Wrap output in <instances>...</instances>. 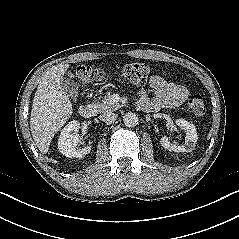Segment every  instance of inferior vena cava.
<instances>
[{"label": "inferior vena cava", "instance_id": "1", "mask_svg": "<svg viewBox=\"0 0 239 239\" xmlns=\"http://www.w3.org/2000/svg\"><path fill=\"white\" fill-rule=\"evenodd\" d=\"M99 119L105 123H113L117 119V114L113 112H104L99 116Z\"/></svg>", "mask_w": 239, "mask_h": 239}]
</instances>
